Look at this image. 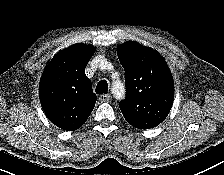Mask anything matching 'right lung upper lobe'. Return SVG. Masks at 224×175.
<instances>
[{
	"mask_svg": "<svg viewBox=\"0 0 224 175\" xmlns=\"http://www.w3.org/2000/svg\"><path fill=\"white\" fill-rule=\"evenodd\" d=\"M95 50L86 44L72 45L58 52L44 70L40 102L48 119L63 130L80 128L95 106L97 97L85 76Z\"/></svg>",
	"mask_w": 224,
	"mask_h": 175,
	"instance_id": "obj_1",
	"label": "right lung upper lobe"
}]
</instances>
